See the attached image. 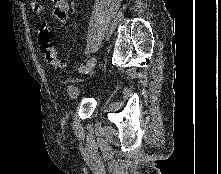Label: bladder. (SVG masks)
Wrapping results in <instances>:
<instances>
[{
  "label": "bladder",
  "instance_id": "obj_1",
  "mask_svg": "<svg viewBox=\"0 0 221 174\" xmlns=\"http://www.w3.org/2000/svg\"><path fill=\"white\" fill-rule=\"evenodd\" d=\"M65 93L71 100L79 98L82 94V89L76 83H69L66 85Z\"/></svg>",
  "mask_w": 221,
  "mask_h": 174
}]
</instances>
